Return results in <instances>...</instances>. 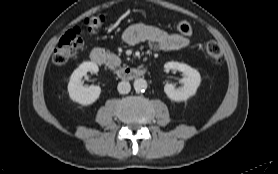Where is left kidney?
<instances>
[{
    "mask_svg": "<svg viewBox=\"0 0 278 174\" xmlns=\"http://www.w3.org/2000/svg\"><path fill=\"white\" fill-rule=\"evenodd\" d=\"M164 67L166 70L180 71L185 76L181 80L183 86L180 88L176 89L169 83L164 86V92L170 100L176 102L186 101L188 98L196 94V91L201 83L200 73L196 69L188 66L187 64L174 61L167 62Z\"/></svg>",
    "mask_w": 278,
    "mask_h": 174,
    "instance_id": "obj_1",
    "label": "left kidney"
}]
</instances>
